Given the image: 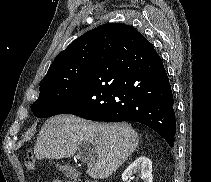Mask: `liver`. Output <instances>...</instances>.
I'll list each match as a JSON object with an SVG mask.
<instances>
[{"instance_id": "obj_1", "label": "liver", "mask_w": 211, "mask_h": 182, "mask_svg": "<svg viewBox=\"0 0 211 182\" xmlns=\"http://www.w3.org/2000/svg\"><path fill=\"white\" fill-rule=\"evenodd\" d=\"M138 134L126 123H90L74 115H59L42 126L34 146L37 159H61L74 155L86 145L92 148L87 174L93 179L112 175L138 146Z\"/></svg>"}]
</instances>
